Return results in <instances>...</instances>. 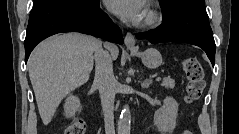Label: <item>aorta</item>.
I'll return each instance as SVG.
<instances>
[{
    "label": "aorta",
    "instance_id": "1",
    "mask_svg": "<svg viewBox=\"0 0 239 134\" xmlns=\"http://www.w3.org/2000/svg\"><path fill=\"white\" fill-rule=\"evenodd\" d=\"M131 130V112L128 105H124L120 118L118 120V134H130Z\"/></svg>",
    "mask_w": 239,
    "mask_h": 134
}]
</instances>
